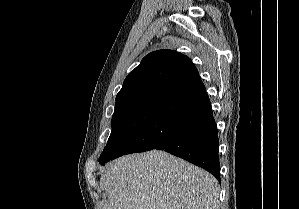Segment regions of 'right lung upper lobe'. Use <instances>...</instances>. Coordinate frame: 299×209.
I'll use <instances>...</instances> for the list:
<instances>
[{
	"instance_id": "cb5924a9",
	"label": "right lung upper lobe",
	"mask_w": 299,
	"mask_h": 209,
	"mask_svg": "<svg viewBox=\"0 0 299 209\" xmlns=\"http://www.w3.org/2000/svg\"><path fill=\"white\" fill-rule=\"evenodd\" d=\"M199 77L187 56L172 50L148 54L124 80L116 107L140 102L162 103L186 83Z\"/></svg>"
}]
</instances>
